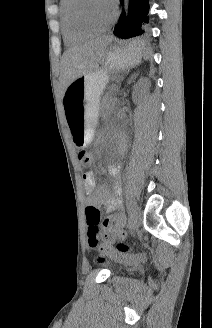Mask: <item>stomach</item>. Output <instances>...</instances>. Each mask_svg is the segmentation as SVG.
<instances>
[{"label": "stomach", "instance_id": "obj_1", "mask_svg": "<svg viewBox=\"0 0 212 328\" xmlns=\"http://www.w3.org/2000/svg\"><path fill=\"white\" fill-rule=\"evenodd\" d=\"M140 57L141 49L137 42H133L124 53L120 50L109 52L104 69L81 75L67 86L64 94L66 123L78 148L86 147L93 138L100 98L109 80V71L135 65Z\"/></svg>", "mask_w": 212, "mask_h": 328}]
</instances>
